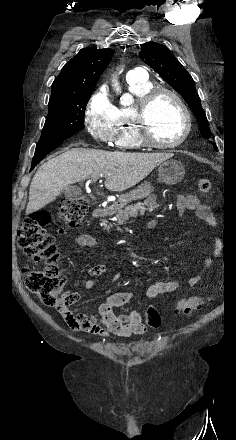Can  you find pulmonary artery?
<instances>
[{"instance_id": "pulmonary-artery-1", "label": "pulmonary artery", "mask_w": 236, "mask_h": 440, "mask_svg": "<svg viewBox=\"0 0 236 440\" xmlns=\"http://www.w3.org/2000/svg\"><path fill=\"white\" fill-rule=\"evenodd\" d=\"M147 76V72L143 68L137 67L129 71L127 75V80H145L147 79Z\"/></svg>"}]
</instances>
